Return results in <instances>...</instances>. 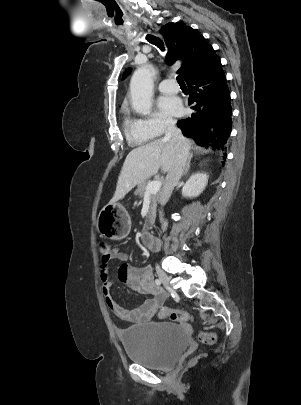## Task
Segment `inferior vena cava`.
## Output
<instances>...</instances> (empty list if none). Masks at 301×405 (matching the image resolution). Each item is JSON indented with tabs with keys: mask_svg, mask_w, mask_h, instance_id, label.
<instances>
[{
	"mask_svg": "<svg viewBox=\"0 0 301 405\" xmlns=\"http://www.w3.org/2000/svg\"><path fill=\"white\" fill-rule=\"evenodd\" d=\"M164 139H170L175 142L176 156L166 175L159 195V202L162 206L168 202L174 186L178 183L185 170L190 149L188 141L182 135L181 130L176 127V121L171 118L166 120ZM161 217L162 212L160 211V219Z\"/></svg>",
	"mask_w": 301,
	"mask_h": 405,
	"instance_id": "1",
	"label": "inferior vena cava"
}]
</instances>
